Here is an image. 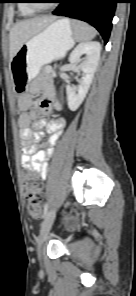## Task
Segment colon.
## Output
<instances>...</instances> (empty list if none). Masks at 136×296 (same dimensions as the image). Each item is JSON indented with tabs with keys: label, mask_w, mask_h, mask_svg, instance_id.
I'll return each instance as SVG.
<instances>
[{
	"label": "colon",
	"mask_w": 136,
	"mask_h": 296,
	"mask_svg": "<svg viewBox=\"0 0 136 296\" xmlns=\"http://www.w3.org/2000/svg\"><path fill=\"white\" fill-rule=\"evenodd\" d=\"M25 193L28 197L27 210L32 218H38L41 214V189L42 184L26 174L23 181Z\"/></svg>",
	"instance_id": "colon-1"
}]
</instances>
